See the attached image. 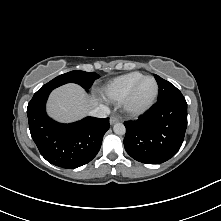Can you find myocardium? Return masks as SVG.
I'll list each match as a JSON object with an SVG mask.
<instances>
[{"instance_id": "f54148a6", "label": "myocardium", "mask_w": 221, "mask_h": 221, "mask_svg": "<svg viewBox=\"0 0 221 221\" xmlns=\"http://www.w3.org/2000/svg\"><path fill=\"white\" fill-rule=\"evenodd\" d=\"M147 79H150L154 83V92L152 96L144 103L138 104L135 101L136 93L140 85ZM159 93L158 83L152 76H143L139 79L131 88L127 96L123 99V108L131 116H139L148 111L155 103Z\"/></svg>"}]
</instances>
